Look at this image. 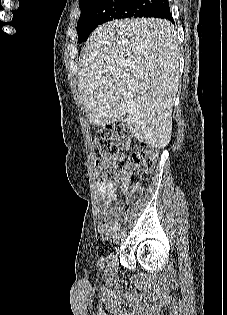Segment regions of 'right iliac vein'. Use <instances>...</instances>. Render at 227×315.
I'll return each mask as SVG.
<instances>
[{
  "label": "right iliac vein",
  "mask_w": 227,
  "mask_h": 315,
  "mask_svg": "<svg viewBox=\"0 0 227 315\" xmlns=\"http://www.w3.org/2000/svg\"><path fill=\"white\" fill-rule=\"evenodd\" d=\"M120 233L119 232H116V234L114 235V241L115 242H118L119 241V239H120Z\"/></svg>",
  "instance_id": "63e3f726"
}]
</instances>
